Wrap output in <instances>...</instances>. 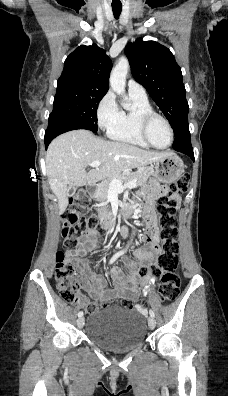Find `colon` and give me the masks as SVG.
Returning <instances> with one entry per match:
<instances>
[{"instance_id": "1", "label": "colon", "mask_w": 228, "mask_h": 396, "mask_svg": "<svg viewBox=\"0 0 228 396\" xmlns=\"http://www.w3.org/2000/svg\"><path fill=\"white\" fill-rule=\"evenodd\" d=\"M189 183L190 175L188 173L182 174L177 181L170 185L167 194L161 196L158 200L160 253L157 264L151 268L150 273L160 275L158 295L163 302L172 301L179 294L180 278L175 273L178 266V231L175 218L177 201L175 196L185 194L188 191ZM70 203L72 208L65 216L62 229L64 245L67 247L77 246L83 240L85 232L94 228L95 225L94 216L89 215L82 218L80 212L76 209V207H88L89 197L85 193L76 194ZM148 273L145 268L141 269L142 275L145 276ZM55 280L59 293L65 301L73 303L80 299L79 280L75 269L71 264L65 262V255L62 251H58L56 254ZM121 305L125 308H133V304L129 300L121 301ZM102 306L104 304L96 301L88 302L85 305V313L87 315L94 314ZM144 307V303L136 306L139 309Z\"/></svg>"}]
</instances>
